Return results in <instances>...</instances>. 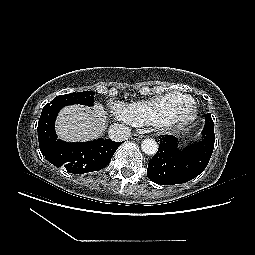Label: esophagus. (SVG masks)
Instances as JSON below:
<instances>
[{
	"mask_svg": "<svg viewBox=\"0 0 255 255\" xmlns=\"http://www.w3.org/2000/svg\"><path fill=\"white\" fill-rule=\"evenodd\" d=\"M142 138H143V136L140 135V134H137V133H134V134L131 135L132 140L138 141V140H141Z\"/></svg>",
	"mask_w": 255,
	"mask_h": 255,
	"instance_id": "esophagus-1",
	"label": "esophagus"
}]
</instances>
